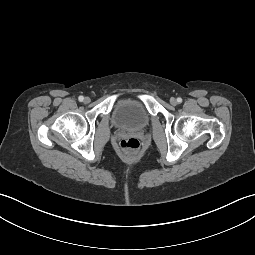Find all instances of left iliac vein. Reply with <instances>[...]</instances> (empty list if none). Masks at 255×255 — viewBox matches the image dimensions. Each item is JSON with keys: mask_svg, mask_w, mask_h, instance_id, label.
Instances as JSON below:
<instances>
[{"mask_svg": "<svg viewBox=\"0 0 255 255\" xmlns=\"http://www.w3.org/2000/svg\"><path fill=\"white\" fill-rule=\"evenodd\" d=\"M170 103H171L172 105H176V104H177V100H176L174 97H172V98L170 99Z\"/></svg>", "mask_w": 255, "mask_h": 255, "instance_id": "4c4485c4", "label": "left iliac vein"}]
</instances>
